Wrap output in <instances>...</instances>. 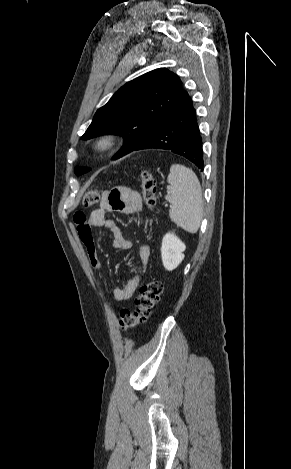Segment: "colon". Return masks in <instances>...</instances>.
<instances>
[{
    "label": "colon",
    "mask_w": 291,
    "mask_h": 469,
    "mask_svg": "<svg viewBox=\"0 0 291 469\" xmlns=\"http://www.w3.org/2000/svg\"><path fill=\"white\" fill-rule=\"evenodd\" d=\"M139 177L144 203L149 209H153L156 203L157 192L155 179L147 170H142ZM100 198L101 194L98 189H89L84 194L83 205L85 207L95 206L100 201ZM81 232L86 234L85 229H81ZM162 291L163 286L159 281L148 280L142 283L139 295L135 300V309H123L119 314L118 323L120 329L127 331L145 323L160 300Z\"/></svg>",
    "instance_id": "1"
}]
</instances>
